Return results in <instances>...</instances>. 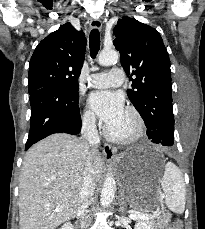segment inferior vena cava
Here are the masks:
<instances>
[{
  "mask_svg": "<svg viewBox=\"0 0 205 229\" xmlns=\"http://www.w3.org/2000/svg\"><path fill=\"white\" fill-rule=\"evenodd\" d=\"M95 116L88 115L83 118L81 134L84 139H86L90 146V152L88 154L85 169L83 173V182L79 195L78 202V214L81 215L82 218V226L85 228L87 226L88 217L85 216V211L89 207L93 193L96 187L95 178L93 175V167L91 161V152L97 151V146L100 142V138L98 135V131L95 123Z\"/></svg>",
  "mask_w": 205,
  "mask_h": 229,
  "instance_id": "inferior-vena-cava-1",
  "label": "inferior vena cava"
}]
</instances>
